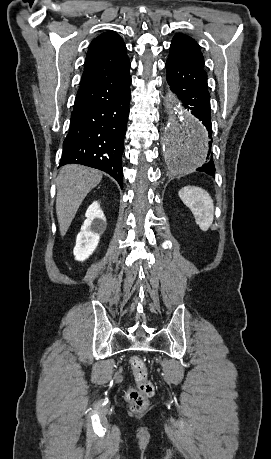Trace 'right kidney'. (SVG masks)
Instances as JSON below:
<instances>
[{
    "label": "right kidney",
    "instance_id": "ca27d5eb",
    "mask_svg": "<svg viewBox=\"0 0 271 459\" xmlns=\"http://www.w3.org/2000/svg\"><path fill=\"white\" fill-rule=\"evenodd\" d=\"M85 218L87 220L81 226V231L76 237V245L73 249L75 259H78V261H84L93 253L99 243L100 233H103L107 226L106 218H104L98 202H93L89 206Z\"/></svg>",
    "mask_w": 271,
    "mask_h": 459
}]
</instances>
